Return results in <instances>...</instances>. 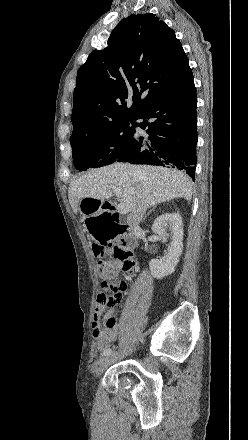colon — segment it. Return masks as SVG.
<instances>
[{"label":"colon","mask_w":248,"mask_h":440,"mask_svg":"<svg viewBox=\"0 0 248 440\" xmlns=\"http://www.w3.org/2000/svg\"><path fill=\"white\" fill-rule=\"evenodd\" d=\"M94 255L99 259L97 264L99 274L105 279L102 290L98 293L96 306L111 309L122 299L127 289L125 281L117 279L121 272L131 273L135 268L130 251L118 243H109L108 246H94ZM112 318L107 319L108 325H113Z\"/></svg>","instance_id":"5ec220e1"}]
</instances>
